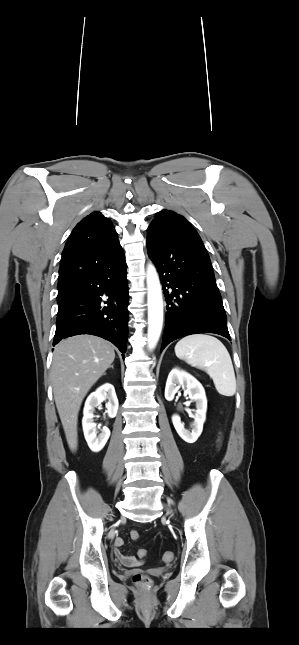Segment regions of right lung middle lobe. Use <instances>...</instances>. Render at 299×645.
<instances>
[{"instance_id": "obj_1", "label": "right lung middle lobe", "mask_w": 299, "mask_h": 645, "mask_svg": "<svg viewBox=\"0 0 299 645\" xmlns=\"http://www.w3.org/2000/svg\"><path fill=\"white\" fill-rule=\"evenodd\" d=\"M63 295H64V291H58V296H57V301L58 302H60V300L62 299Z\"/></svg>"}]
</instances>
